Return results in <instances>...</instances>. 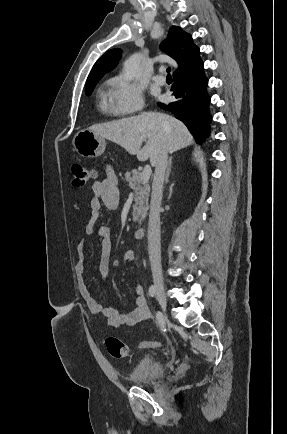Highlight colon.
<instances>
[{
  "label": "colon",
  "mask_w": 287,
  "mask_h": 434,
  "mask_svg": "<svg viewBox=\"0 0 287 434\" xmlns=\"http://www.w3.org/2000/svg\"><path fill=\"white\" fill-rule=\"evenodd\" d=\"M72 172L74 175L73 184L75 186L87 185L97 178L96 169L89 168L81 164L73 165ZM159 345V342L149 340L139 343L137 348L144 350L155 348ZM106 347L110 355L117 359L126 358L131 355V348L126 343L113 336L106 339Z\"/></svg>",
  "instance_id": "colon-1"
}]
</instances>
